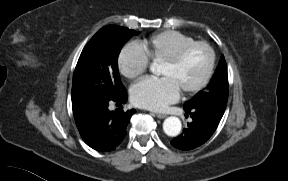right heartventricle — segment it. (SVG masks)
<instances>
[{"mask_svg": "<svg viewBox=\"0 0 288 181\" xmlns=\"http://www.w3.org/2000/svg\"><path fill=\"white\" fill-rule=\"evenodd\" d=\"M194 41L195 39L189 35L174 30H167L139 42L138 46L143 50L148 60L161 62L163 59L172 56L183 46Z\"/></svg>", "mask_w": 288, "mask_h": 181, "instance_id": "obj_1", "label": "right heart ventricle"}]
</instances>
